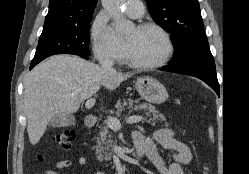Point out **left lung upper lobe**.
<instances>
[{"label": "left lung upper lobe", "instance_id": "5c2ea615", "mask_svg": "<svg viewBox=\"0 0 249 174\" xmlns=\"http://www.w3.org/2000/svg\"><path fill=\"white\" fill-rule=\"evenodd\" d=\"M153 20L170 33L174 54L170 67L215 68L205 36L198 0H146Z\"/></svg>", "mask_w": 249, "mask_h": 174}]
</instances>
